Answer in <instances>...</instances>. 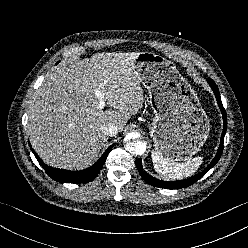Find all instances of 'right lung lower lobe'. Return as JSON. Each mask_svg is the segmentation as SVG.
Masks as SVG:
<instances>
[{
	"label": "right lung lower lobe",
	"mask_w": 248,
	"mask_h": 248,
	"mask_svg": "<svg viewBox=\"0 0 248 248\" xmlns=\"http://www.w3.org/2000/svg\"><path fill=\"white\" fill-rule=\"evenodd\" d=\"M114 145L108 147L101 158L91 167L80 171L63 170L50 167L43 163V161L37 156L35 151L31 148L39 164L46 171V173L54 180L60 183H86L90 182L98 175L100 169L103 167L105 160L113 148ZM31 147V146H30Z\"/></svg>",
	"instance_id": "right-lung-lower-lobe-1"
}]
</instances>
